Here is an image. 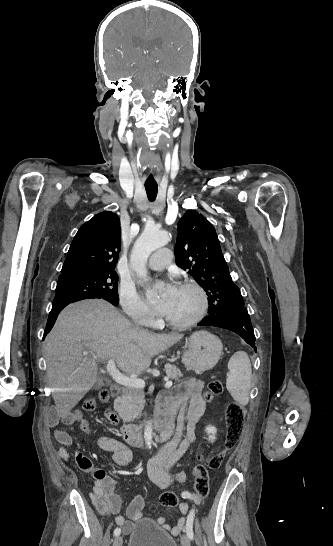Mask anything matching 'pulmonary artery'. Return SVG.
Listing matches in <instances>:
<instances>
[{
    "instance_id": "obj_1",
    "label": "pulmonary artery",
    "mask_w": 333,
    "mask_h": 546,
    "mask_svg": "<svg viewBox=\"0 0 333 546\" xmlns=\"http://www.w3.org/2000/svg\"><path fill=\"white\" fill-rule=\"evenodd\" d=\"M171 257L172 252L170 249H158L148 260V267L152 270H162L170 264Z\"/></svg>"
}]
</instances>
